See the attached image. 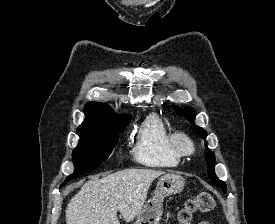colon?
Here are the masks:
<instances>
[{
    "instance_id": "colon-1",
    "label": "colon",
    "mask_w": 275,
    "mask_h": 224,
    "mask_svg": "<svg viewBox=\"0 0 275 224\" xmlns=\"http://www.w3.org/2000/svg\"><path fill=\"white\" fill-rule=\"evenodd\" d=\"M214 199L207 192H200L189 198L177 214L178 224H191L196 213H206L213 209Z\"/></svg>"
}]
</instances>
